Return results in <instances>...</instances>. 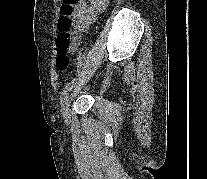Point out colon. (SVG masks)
I'll use <instances>...</instances> for the list:
<instances>
[{
	"mask_svg": "<svg viewBox=\"0 0 207 179\" xmlns=\"http://www.w3.org/2000/svg\"><path fill=\"white\" fill-rule=\"evenodd\" d=\"M80 0H63L60 6V17L57 21L58 33L56 36L58 70L65 71L69 66L68 51L73 45L72 15Z\"/></svg>",
	"mask_w": 207,
	"mask_h": 179,
	"instance_id": "obj_1",
	"label": "colon"
}]
</instances>
